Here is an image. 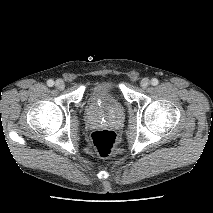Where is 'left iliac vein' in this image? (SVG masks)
Instances as JSON below:
<instances>
[{
  "label": "left iliac vein",
  "mask_w": 213,
  "mask_h": 213,
  "mask_svg": "<svg viewBox=\"0 0 213 213\" xmlns=\"http://www.w3.org/2000/svg\"><path fill=\"white\" fill-rule=\"evenodd\" d=\"M150 80L148 78H143L140 82V86L145 89L149 86Z\"/></svg>",
  "instance_id": "4c4485c4"
}]
</instances>
